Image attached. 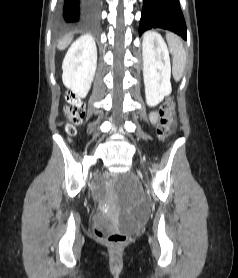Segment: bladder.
Masks as SVG:
<instances>
[{
    "label": "bladder",
    "mask_w": 238,
    "mask_h": 278,
    "mask_svg": "<svg viewBox=\"0 0 238 278\" xmlns=\"http://www.w3.org/2000/svg\"><path fill=\"white\" fill-rule=\"evenodd\" d=\"M96 222L101 225V226H105V227H108V226H112L113 225V222L106 216L104 215H97L96 216Z\"/></svg>",
    "instance_id": "bladder-1"
}]
</instances>
